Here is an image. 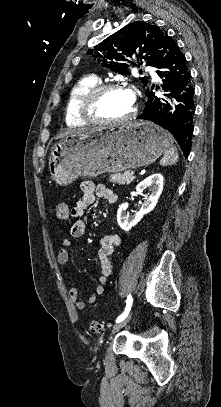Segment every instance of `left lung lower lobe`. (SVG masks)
I'll return each mask as SVG.
<instances>
[{"mask_svg": "<svg viewBox=\"0 0 221 407\" xmlns=\"http://www.w3.org/2000/svg\"><path fill=\"white\" fill-rule=\"evenodd\" d=\"M156 68L163 81L160 88L164 92L163 97L158 98L149 91L145 108L138 119L152 121L170 131L188 157L194 129L195 92L186 58L174 41L169 44L166 55Z\"/></svg>", "mask_w": 221, "mask_h": 407, "instance_id": "obj_1", "label": "left lung lower lobe"}]
</instances>
